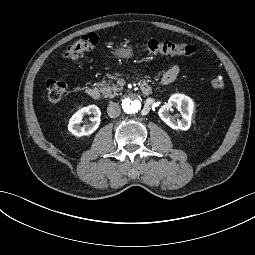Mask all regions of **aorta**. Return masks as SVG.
<instances>
[{"mask_svg": "<svg viewBox=\"0 0 255 255\" xmlns=\"http://www.w3.org/2000/svg\"><path fill=\"white\" fill-rule=\"evenodd\" d=\"M124 111L128 114H135L141 109V101L137 97H129L123 100Z\"/></svg>", "mask_w": 255, "mask_h": 255, "instance_id": "aorta-1", "label": "aorta"}]
</instances>
